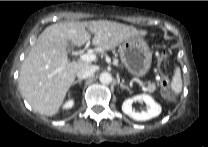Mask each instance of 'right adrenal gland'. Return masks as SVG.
<instances>
[{
  "label": "right adrenal gland",
  "instance_id": "2a0ac1e0",
  "mask_svg": "<svg viewBox=\"0 0 208 147\" xmlns=\"http://www.w3.org/2000/svg\"><path fill=\"white\" fill-rule=\"evenodd\" d=\"M81 82H82V80H81V79H78V80H76V81L74 82V84L81 83Z\"/></svg>",
  "mask_w": 208,
  "mask_h": 147
}]
</instances>
